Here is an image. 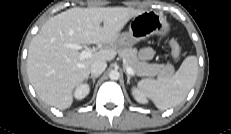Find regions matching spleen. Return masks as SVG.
<instances>
[{
    "label": "spleen",
    "instance_id": "3e777b00",
    "mask_svg": "<svg viewBox=\"0 0 231 134\" xmlns=\"http://www.w3.org/2000/svg\"><path fill=\"white\" fill-rule=\"evenodd\" d=\"M198 59L188 56L173 76L159 79H143L138 83L141 92L150 98L160 110L178 106L187 97L196 82Z\"/></svg>",
    "mask_w": 231,
    "mask_h": 134
}]
</instances>
